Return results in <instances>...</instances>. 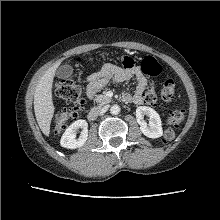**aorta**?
Listing matches in <instances>:
<instances>
[{
    "label": "aorta",
    "mask_w": 220,
    "mask_h": 220,
    "mask_svg": "<svg viewBox=\"0 0 220 220\" xmlns=\"http://www.w3.org/2000/svg\"><path fill=\"white\" fill-rule=\"evenodd\" d=\"M120 112V107L118 105H113L110 108V113L113 115H117Z\"/></svg>",
    "instance_id": "aorta-1"
}]
</instances>
